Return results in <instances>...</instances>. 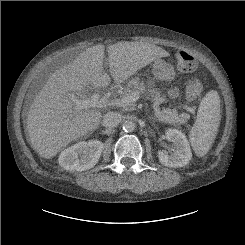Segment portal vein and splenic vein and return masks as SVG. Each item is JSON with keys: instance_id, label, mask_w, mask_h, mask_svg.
Wrapping results in <instances>:
<instances>
[{"instance_id": "18ae733b", "label": "portal vein and splenic vein", "mask_w": 245, "mask_h": 245, "mask_svg": "<svg viewBox=\"0 0 245 245\" xmlns=\"http://www.w3.org/2000/svg\"><path fill=\"white\" fill-rule=\"evenodd\" d=\"M69 98L75 105V111L87 108H105L107 106L127 107L139 99V92L133 91L129 95L112 101L100 99L99 94H93L90 98L80 99L74 93H70Z\"/></svg>"}]
</instances>
